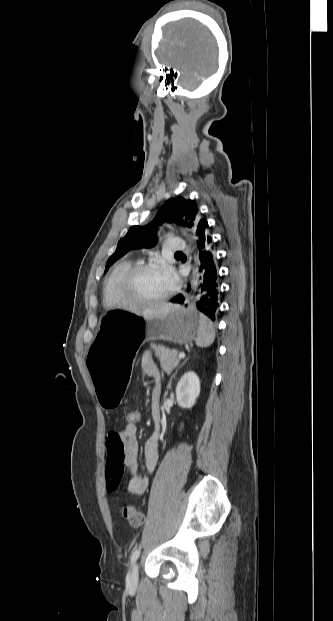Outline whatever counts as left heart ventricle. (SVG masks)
<instances>
[{
	"mask_svg": "<svg viewBox=\"0 0 333 621\" xmlns=\"http://www.w3.org/2000/svg\"><path fill=\"white\" fill-rule=\"evenodd\" d=\"M170 287L165 272L145 271L133 278L129 291L138 298L152 300L164 296Z\"/></svg>",
	"mask_w": 333,
	"mask_h": 621,
	"instance_id": "b2bd125f",
	"label": "left heart ventricle"
}]
</instances>
